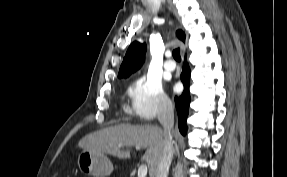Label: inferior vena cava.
<instances>
[{"label":"inferior vena cava","mask_w":287,"mask_h":177,"mask_svg":"<svg viewBox=\"0 0 287 177\" xmlns=\"http://www.w3.org/2000/svg\"><path fill=\"white\" fill-rule=\"evenodd\" d=\"M158 120L163 126L164 144L155 177H168V172L173 156L174 126V107L170 100L163 104L158 114Z\"/></svg>","instance_id":"obj_1"}]
</instances>
